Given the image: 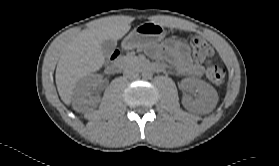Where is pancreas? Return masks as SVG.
<instances>
[{"mask_svg":"<svg viewBox=\"0 0 279 166\" xmlns=\"http://www.w3.org/2000/svg\"><path fill=\"white\" fill-rule=\"evenodd\" d=\"M122 59L126 65H136L140 63L139 59L132 55L124 56Z\"/></svg>","mask_w":279,"mask_h":166,"instance_id":"obj_1","label":"pancreas"}]
</instances>
